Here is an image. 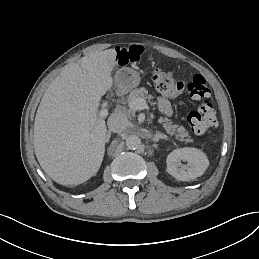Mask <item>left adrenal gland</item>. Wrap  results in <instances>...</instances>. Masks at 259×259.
<instances>
[{"label":"left adrenal gland","instance_id":"left-adrenal-gland-1","mask_svg":"<svg viewBox=\"0 0 259 259\" xmlns=\"http://www.w3.org/2000/svg\"><path fill=\"white\" fill-rule=\"evenodd\" d=\"M160 139L168 140V137H167L166 135H164V134H161V133L157 132V133L154 135V137L152 138V140H153L154 142H158Z\"/></svg>","mask_w":259,"mask_h":259}]
</instances>
